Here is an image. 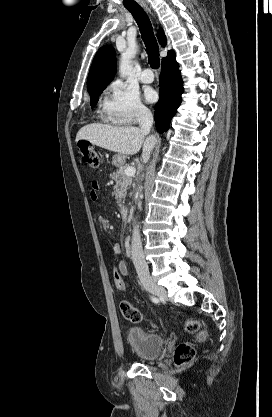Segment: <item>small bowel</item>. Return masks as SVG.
Listing matches in <instances>:
<instances>
[{"mask_svg": "<svg viewBox=\"0 0 272 417\" xmlns=\"http://www.w3.org/2000/svg\"><path fill=\"white\" fill-rule=\"evenodd\" d=\"M98 192H99V184L96 181H93L91 183V189H90V199L93 202H96L98 200ZM113 253L115 255H119L121 252V247L119 243H115L112 247ZM117 268L119 269L121 275L123 277L127 276V267L126 264L124 263V261H119L117 264Z\"/></svg>", "mask_w": 272, "mask_h": 417, "instance_id": "obj_1", "label": "small bowel"}]
</instances>
